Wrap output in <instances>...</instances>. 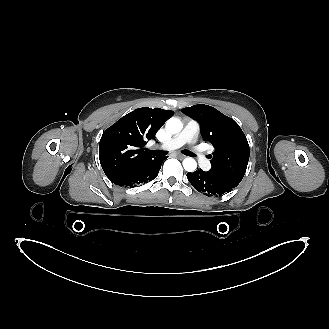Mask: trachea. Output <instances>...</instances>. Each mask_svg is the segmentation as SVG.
I'll use <instances>...</instances> for the list:
<instances>
[{"label": "trachea", "mask_w": 329, "mask_h": 329, "mask_svg": "<svg viewBox=\"0 0 329 329\" xmlns=\"http://www.w3.org/2000/svg\"><path fill=\"white\" fill-rule=\"evenodd\" d=\"M149 154L154 155V156H158V157H162L165 156L167 154V152L162 151V150H154V151H148ZM183 154L187 155V156H194V154L188 150H184Z\"/></svg>", "instance_id": "trachea-1"}]
</instances>
